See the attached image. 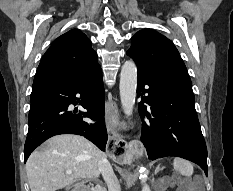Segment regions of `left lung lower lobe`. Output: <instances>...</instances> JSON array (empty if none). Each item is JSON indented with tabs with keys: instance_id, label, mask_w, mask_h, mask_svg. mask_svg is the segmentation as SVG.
I'll return each instance as SVG.
<instances>
[{
	"instance_id": "obj_1",
	"label": "left lung lower lobe",
	"mask_w": 233,
	"mask_h": 191,
	"mask_svg": "<svg viewBox=\"0 0 233 191\" xmlns=\"http://www.w3.org/2000/svg\"><path fill=\"white\" fill-rule=\"evenodd\" d=\"M143 121L141 141L148 158L179 156L198 164L208 175L207 148L194 106V93L175 80L138 69L137 95ZM144 103L151 106V115Z\"/></svg>"
}]
</instances>
